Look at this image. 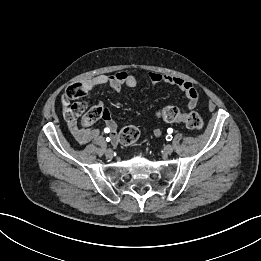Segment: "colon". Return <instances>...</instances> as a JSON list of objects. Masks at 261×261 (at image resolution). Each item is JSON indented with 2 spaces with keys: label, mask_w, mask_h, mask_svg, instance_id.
<instances>
[{
  "label": "colon",
  "mask_w": 261,
  "mask_h": 261,
  "mask_svg": "<svg viewBox=\"0 0 261 261\" xmlns=\"http://www.w3.org/2000/svg\"><path fill=\"white\" fill-rule=\"evenodd\" d=\"M84 94L81 83H75L66 90L63 103L66 105L69 100L79 99ZM81 115H83V118H85L87 122H95L99 118L104 117V112H102L97 104L92 107H87L84 103H74L69 107L68 116L70 118H77ZM157 116L168 123L182 122L192 130H200L203 127V120L198 113L189 112L183 114L174 106L163 108L157 113ZM139 136V129L130 125L121 130L119 140L123 145H132L139 139Z\"/></svg>",
  "instance_id": "1"
}]
</instances>
